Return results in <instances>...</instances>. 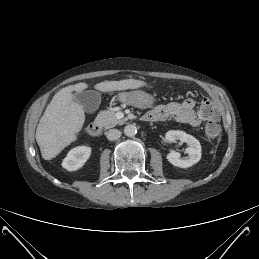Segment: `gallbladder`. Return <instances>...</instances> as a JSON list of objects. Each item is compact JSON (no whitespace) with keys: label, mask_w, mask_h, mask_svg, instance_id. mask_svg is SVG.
Returning <instances> with one entry per match:
<instances>
[{"label":"gallbladder","mask_w":259,"mask_h":259,"mask_svg":"<svg viewBox=\"0 0 259 259\" xmlns=\"http://www.w3.org/2000/svg\"><path fill=\"white\" fill-rule=\"evenodd\" d=\"M75 102L82 104V108L87 113L94 112L100 104V94L96 91H87L75 93L73 95Z\"/></svg>","instance_id":"1"}]
</instances>
